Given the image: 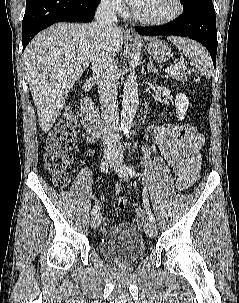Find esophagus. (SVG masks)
<instances>
[{
	"label": "esophagus",
	"mask_w": 239,
	"mask_h": 303,
	"mask_svg": "<svg viewBox=\"0 0 239 303\" xmlns=\"http://www.w3.org/2000/svg\"><path fill=\"white\" fill-rule=\"evenodd\" d=\"M124 35L129 39L139 40V36L132 27L126 29Z\"/></svg>",
	"instance_id": "34e87169"
}]
</instances>
